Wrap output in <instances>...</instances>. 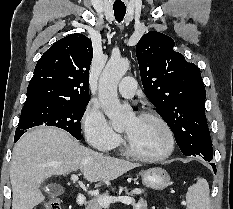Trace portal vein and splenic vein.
Masks as SVG:
<instances>
[{"label": "portal vein and splenic vein", "instance_id": "portal-vein-and-splenic-vein-1", "mask_svg": "<svg viewBox=\"0 0 233 209\" xmlns=\"http://www.w3.org/2000/svg\"><path fill=\"white\" fill-rule=\"evenodd\" d=\"M71 180L77 181L78 176L76 174H73L71 176ZM116 202H120L125 205H130L132 203V199L130 197H112V196H100L98 198V203L104 208H108L111 203H116Z\"/></svg>", "mask_w": 233, "mask_h": 209}]
</instances>
